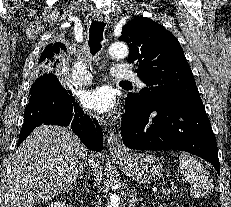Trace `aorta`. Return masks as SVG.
<instances>
[{
    "label": "aorta",
    "instance_id": "762f6f07",
    "mask_svg": "<svg viewBox=\"0 0 231 207\" xmlns=\"http://www.w3.org/2000/svg\"><path fill=\"white\" fill-rule=\"evenodd\" d=\"M107 53L112 58L123 59L129 54L128 46L123 42L113 43L107 50ZM106 207H120V200L118 195L112 194Z\"/></svg>",
    "mask_w": 231,
    "mask_h": 207
}]
</instances>
